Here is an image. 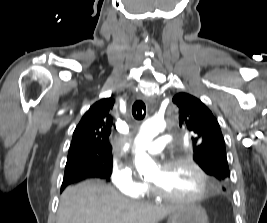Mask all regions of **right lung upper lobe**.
Wrapping results in <instances>:
<instances>
[{"mask_svg": "<svg viewBox=\"0 0 267 223\" xmlns=\"http://www.w3.org/2000/svg\"><path fill=\"white\" fill-rule=\"evenodd\" d=\"M113 105L112 98L101 99L84 114L73 133L67 163L83 159L101 162L111 157L109 135L113 124Z\"/></svg>", "mask_w": 267, "mask_h": 223, "instance_id": "cb5924a9", "label": "right lung upper lobe"}]
</instances>
